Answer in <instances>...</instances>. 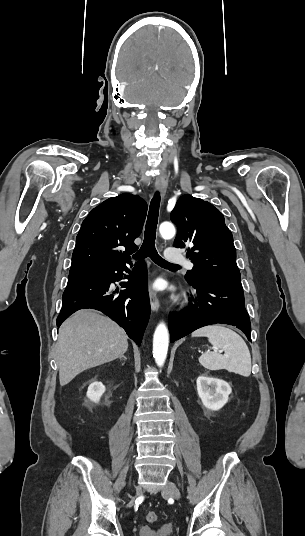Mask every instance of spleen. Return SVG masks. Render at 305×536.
Here are the masks:
<instances>
[{
  "label": "spleen",
  "instance_id": "1",
  "mask_svg": "<svg viewBox=\"0 0 305 536\" xmlns=\"http://www.w3.org/2000/svg\"><path fill=\"white\" fill-rule=\"evenodd\" d=\"M193 338L205 336L214 348H219L225 352L224 356L218 352H205L199 358V362L206 370H228L240 376H250L251 374V356L250 352L241 336L224 328L222 324L215 326H205L192 334Z\"/></svg>",
  "mask_w": 305,
  "mask_h": 536
}]
</instances>
